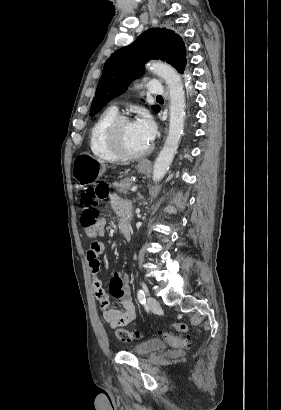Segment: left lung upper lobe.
Returning <instances> with one entry per match:
<instances>
[{
  "label": "left lung upper lobe",
  "mask_w": 281,
  "mask_h": 410,
  "mask_svg": "<svg viewBox=\"0 0 281 410\" xmlns=\"http://www.w3.org/2000/svg\"><path fill=\"white\" fill-rule=\"evenodd\" d=\"M149 59L166 61L179 73L186 72V49L182 38L166 28L149 29L132 44L115 51L108 58L91 105L90 116L124 92L134 78L143 75V65ZM152 108L155 112L159 111L158 106Z\"/></svg>",
  "instance_id": "1"
}]
</instances>
